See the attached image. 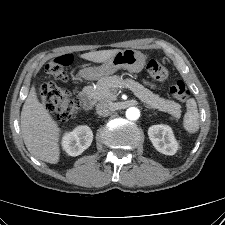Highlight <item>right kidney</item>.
<instances>
[{
    "label": "right kidney",
    "instance_id": "1",
    "mask_svg": "<svg viewBox=\"0 0 225 225\" xmlns=\"http://www.w3.org/2000/svg\"><path fill=\"white\" fill-rule=\"evenodd\" d=\"M93 133L88 126H78L73 131L65 133L62 147L70 156H78L92 143Z\"/></svg>",
    "mask_w": 225,
    "mask_h": 225
}]
</instances>
